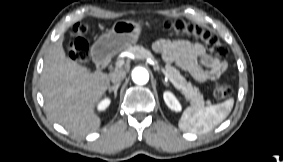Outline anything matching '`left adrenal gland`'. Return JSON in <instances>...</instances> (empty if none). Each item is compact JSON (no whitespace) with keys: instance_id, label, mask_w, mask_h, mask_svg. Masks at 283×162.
<instances>
[{"instance_id":"obj_1","label":"left adrenal gland","mask_w":283,"mask_h":162,"mask_svg":"<svg viewBox=\"0 0 283 162\" xmlns=\"http://www.w3.org/2000/svg\"><path fill=\"white\" fill-rule=\"evenodd\" d=\"M164 85L168 86V83L166 81H163Z\"/></svg>"}]
</instances>
